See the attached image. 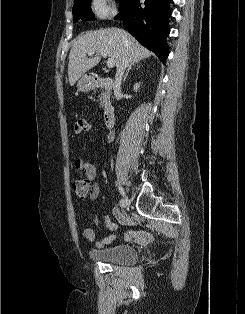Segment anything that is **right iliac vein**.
Wrapping results in <instances>:
<instances>
[{
	"mask_svg": "<svg viewBox=\"0 0 245 314\" xmlns=\"http://www.w3.org/2000/svg\"><path fill=\"white\" fill-rule=\"evenodd\" d=\"M129 205V200L128 197L126 196V194H123V199H122V207L126 208Z\"/></svg>",
	"mask_w": 245,
	"mask_h": 314,
	"instance_id": "63e3f726",
	"label": "right iliac vein"
}]
</instances>
